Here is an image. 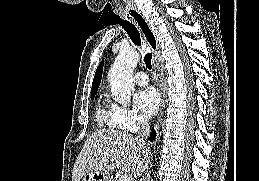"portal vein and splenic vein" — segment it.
Wrapping results in <instances>:
<instances>
[{"instance_id": "1", "label": "portal vein and splenic vein", "mask_w": 259, "mask_h": 181, "mask_svg": "<svg viewBox=\"0 0 259 181\" xmlns=\"http://www.w3.org/2000/svg\"><path fill=\"white\" fill-rule=\"evenodd\" d=\"M119 181H131V179L128 175H123L120 176Z\"/></svg>"}]
</instances>
